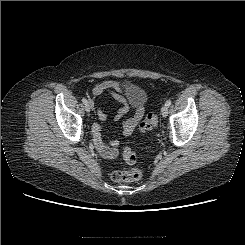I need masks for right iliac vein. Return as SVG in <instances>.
Returning <instances> with one entry per match:
<instances>
[{"label": "right iliac vein", "instance_id": "1", "mask_svg": "<svg viewBox=\"0 0 245 245\" xmlns=\"http://www.w3.org/2000/svg\"><path fill=\"white\" fill-rule=\"evenodd\" d=\"M85 110L87 113H89L91 111V105L90 104L85 105Z\"/></svg>", "mask_w": 245, "mask_h": 245}]
</instances>
